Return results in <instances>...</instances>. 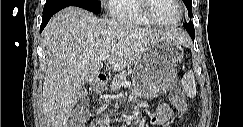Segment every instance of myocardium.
<instances>
[{"mask_svg": "<svg viewBox=\"0 0 243 127\" xmlns=\"http://www.w3.org/2000/svg\"><path fill=\"white\" fill-rule=\"evenodd\" d=\"M152 1L153 0H142V6H143V11L145 13V15L156 25L160 26V27H164V28H175L178 27L179 25H181L183 19H184V7L182 4L181 0H175L179 10H180V17L179 20L176 23L173 24H167L162 22L161 20H159L156 15L153 12V6H152Z\"/></svg>", "mask_w": 243, "mask_h": 127, "instance_id": "f54148a6", "label": "myocardium"}]
</instances>
